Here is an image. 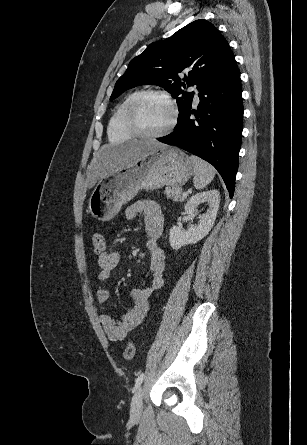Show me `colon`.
<instances>
[{
  "mask_svg": "<svg viewBox=\"0 0 307 445\" xmlns=\"http://www.w3.org/2000/svg\"><path fill=\"white\" fill-rule=\"evenodd\" d=\"M91 245L93 250L98 253V254H102L105 252L106 250V245H105V240L104 237L102 235V233L95 231L92 233L91 235ZM135 354V345L134 342L132 340H129L126 345H125V349H124V359L127 361H130Z\"/></svg>",
  "mask_w": 307,
  "mask_h": 445,
  "instance_id": "obj_1",
  "label": "colon"
}]
</instances>
